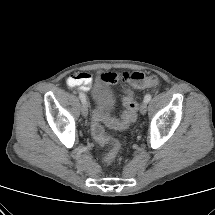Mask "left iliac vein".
Listing matches in <instances>:
<instances>
[{
  "mask_svg": "<svg viewBox=\"0 0 215 215\" xmlns=\"http://www.w3.org/2000/svg\"><path fill=\"white\" fill-rule=\"evenodd\" d=\"M140 112L143 115L146 114V112H147V103L145 101H143L140 106Z\"/></svg>",
  "mask_w": 215,
  "mask_h": 215,
  "instance_id": "4c4485c4",
  "label": "left iliac vein"
}]
</instances>
